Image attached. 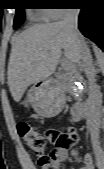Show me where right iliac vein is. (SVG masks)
<instances>
[{
    "mask_svg": "<svg viewBox=\"0 0 104 169\" xmlns=\"http://www.w3.org/2000/svg\"><path fill=\"white\" fill-rule=\"evenodd\" d=\"M94 153L99 169H104V152L99 145H94Z\"/></svg>",
    "mask_w": 104,
    "mask_h": 169,
    "instance_id": "right-iliac-vein-1",
    "label": "right iliac vein"
}]
</instances>
